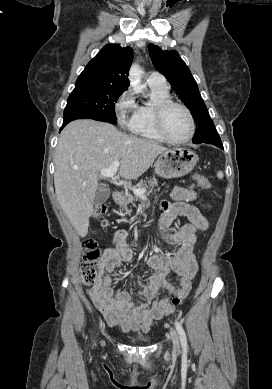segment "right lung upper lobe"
Wrapping results in <instances>:
<instances>
[{"mask_svg": "<svg viewBox=\"0 0 272 389\" xmlns=\"http://www.w3.org/2000/svg\"><path fill=\"white\" fill-rule=\"evenodd\" d=\"M133 60L129 47L108 44L87 64L76 84L109 86L127 90L128 71Z\"/></svg>", "mask_w": 272, "mask_h": 389, "instance_id": "1", "label": "right lung upper lobe"}]
</instances>
